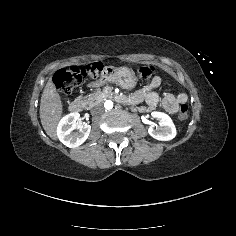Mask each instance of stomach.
Wrapping results in <instances>:
<instances>
[{"mask_svg":"<svg viewBox=\"0 0 236 236\" xmlns=\"http://www.w3.org/2000/svg\"><path fill=\"white\" fill-rule=\"evenodd\" d=\"M107 82L115 83L122 89L132 90L136 87L138 78L135 72L129 67H109L106 75Z\"/></svg>","mask_w":236,"mask_h":236,"instance_id":"0dacf381","label":"stomach"}]
</instances>
